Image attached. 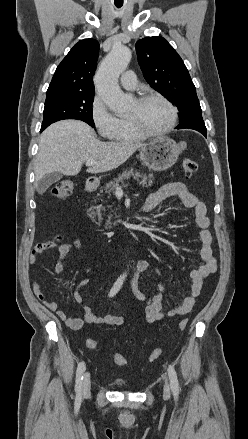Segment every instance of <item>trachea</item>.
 <instances>
[{
	"label": "trachea",
	"mask_w": 248,
	"mask_h": 439,
	"mask_svg": "<svg viewBox=\"0 0 248 439\" xmlns=\"http://www.w3.org/2000/svg\"><path fill=\"white\" fill-rule=\"evenodd\" d=\"M116 7H117V8H121V7H122V4H116Z\"/></svg>",
	"instance_id": "trachea-1"
}]
</instances>
